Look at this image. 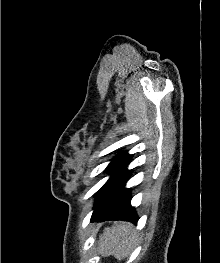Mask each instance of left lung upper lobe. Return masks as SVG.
Masks as SVG:
<instances>
[{"label": "left lung upper lobe", "mask_w": 220, "mask_h": 263, "mask_svg": "<svg viewBox=\"0 0 220 263\" xmlns=\"http://www.w3.org/2000/svg\"><path fill=\"white\" fill-rule=\"evenodd\" d=\"M131 155L127 153L116 156L105 171L111 172L112 176L107 183L97 192V202L108 193L121 179H123L130 171L126 165L129 163Z\"/></svg>", "instance_id": "obj_1"}]
</instances>
